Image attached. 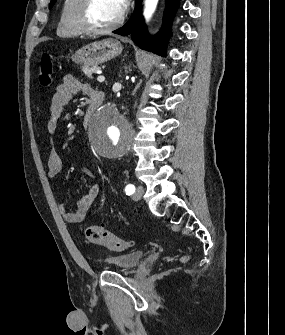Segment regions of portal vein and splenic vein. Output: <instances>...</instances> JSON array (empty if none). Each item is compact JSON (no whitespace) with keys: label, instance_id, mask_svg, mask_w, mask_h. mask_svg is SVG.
Instances as JSON below:
<instances>
[{"label":"portal vein and splenic vein","instance_id":"18ae733b","mask_svg":"<svg viewBox=\"0 0 285 335\" xmlns=\"http://www.w3.org/2000/svg\"><path fill=\"white\" fill-rule=\"evenodd\" d=\"M96 74H102V72H100V70H95ZM98 82H105V78L104 76H98L97 78Z\"/></svg>","mask_w":285,"mask_h":335}]
</instances>
